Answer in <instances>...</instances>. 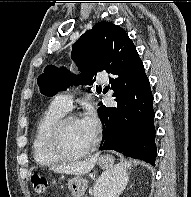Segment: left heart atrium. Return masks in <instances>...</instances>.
I'll return each mask as SVG.
<instances>
[{"instance_id":"1","label":"left heart atrium","mask_w":191,"mask_h":197,"mask_svg":"<svg viewBox=\"0 0 191 197\" xmlns=\"http://www.w3.org/2000/svg\"><path fill=\"white\" fill-rule=\"evenodd\" d=\"M79 121L86 135L93 140L99 130V120L95 112L88 111Z\"/></svg>"}]
</instances>
